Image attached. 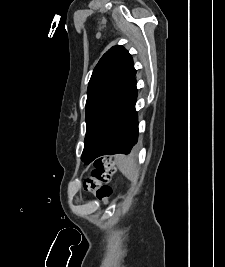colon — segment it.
Here are the masks:
<instances>
[{
	"instance_id": "1",
	"label": "colon",
	"mask_w": 225,
	"mask_h": 267,
	"mask_svg": "<svg viewBox=\"0 0 225 267\" xmlns=\"http://www.w3.org/2000/svg\"><path fill=\"white\" fill-rule=\"evenodd\" d=\"M115 170V162L111 157L98 158L95 161L91 177L85 181L86 190L93 192L99 200L107 203L113 193L110 183Z\"/></svg>"
}]
</instances>
